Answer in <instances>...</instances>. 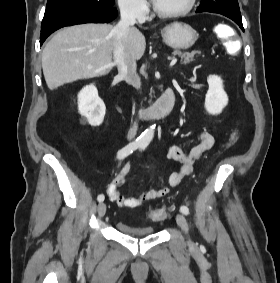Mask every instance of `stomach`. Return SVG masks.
Masks as SVG:
<instances>
[{
  "label": "stomach",
  "instance_id": "stomach-1",
  "mask_svg": "<svg viewBox=\"0 0 280 283\" xmlns=\"http://www.w3.org/2000/svg\"><path fill=\"white\" fill-rule=\"evenodd\" d=\"M163 41L171 48L183 50L194 45L197 32L188 24L174 22L161 30Z\"/></svg>",
  "mask_w": 280,
  "mask_h": 283
}]
</instances>
